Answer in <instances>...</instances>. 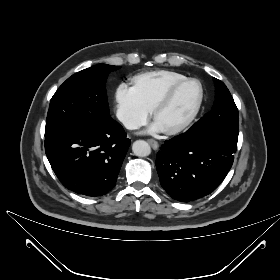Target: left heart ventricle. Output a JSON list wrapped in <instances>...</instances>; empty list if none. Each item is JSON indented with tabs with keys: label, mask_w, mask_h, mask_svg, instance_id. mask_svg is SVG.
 <instances>
[{
	"label": "left heart ventricle",
	"mask_w": 280,
	"mask_h": 280,
	"mask_svg": "<svg viewBox=\"0 0 280 280\" xmlns=\"http://www.w3.org/2000/svg\"><path fill=\"white\" fill-rule=\"evenodd\" d=\"M198 97L199 87L196 83L179 87L169 103L157 112L155 122L162 130L176 127L188 118Z\"/></svg>",
	"instance_id": "b2bd125f"
}]
</instances>
